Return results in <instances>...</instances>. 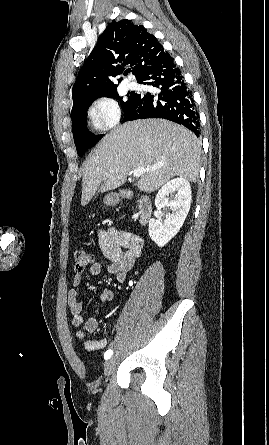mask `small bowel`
<instances>
[{
	"instance_id": "small-bowel-1",
	"label": "small bowel",
	"mask_w": 269,
	"mask_h": 445,
	"mask_svg": "<svg viewBox=\"0 0 269 445\" xmlns=\"http://www.w3.org/2000/svg\"><path fill=\"white\" fill-rule=\"evenodd\" d=\"M98 238L101 251L109 263H93L88 268V273L91 275H98L105 269L108 273L114 274L118 282H125L128 272L133 268L135 261L141 252V238L130 232L117 230L115 228L101 230L98 234ZM82 281L83 275L77 273L73 278V289L68 293V305L72 315V323L78 327L76 335L81 340L84 339L87 333L95 332L99 327V323L94 316H91L84 321L83 305L78 299V288L81 286ZM114 299L115 293L111 289H103L100 292V304L113 301ZM106 345V338L97 340L88 339L84 341V346L87 351L100 350Z\"/></svg>"
}]
</instances>
